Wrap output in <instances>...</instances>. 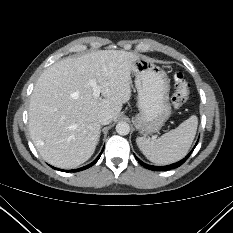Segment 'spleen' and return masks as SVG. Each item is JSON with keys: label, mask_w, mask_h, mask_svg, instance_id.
Wrapping results in <instances>:
<instances>
[{"label": "spleen", "mask_w": 233, "mask_h": 233, "mask_svg": "<svg viewBox=\"0 0 233 233\" xmlns=\"http://www.w3.org/2000/svg\"><path fill=\"white\" fill-rule=\"evenodd\" d=\"M198 118L192 115L177 128L170 130L155 140L145 137L136 139L141 152L153 163L166 165L179 161L188 153L194 140Z\"/></svg>", "instance_id": "obj_1"}]
</instances>
